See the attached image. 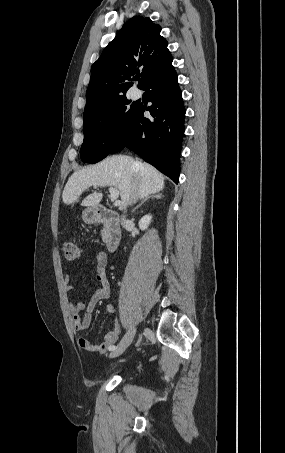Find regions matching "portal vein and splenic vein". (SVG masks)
Listing matches in <instances>:
<instances>
[{
    "mask_svg": "<svg viewBox=\"0 0 285 453\" xmlns=\"http://www.w3.org/2000/svg\"><path fill=\"white\" fill-rule=\"evenodd\" d=\"M109 192H110V199L114 203V205H120L121 202L117 200L119 197V190L115 187H110Z\"/></svg>",
    "mask_w": 285,
    "mask_h": 453,
    "instance_id": "obj_1",
    "label": "portal vein and splenic vein"
}]
</instances>
